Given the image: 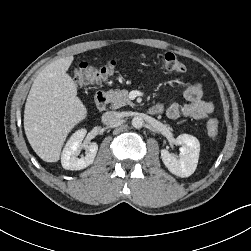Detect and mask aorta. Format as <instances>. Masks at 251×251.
<instances>
[{"mask_svg": "<svg viewBox=\"0 0 251 251\" xmlns=\"http://www.w3.org/2000/svg\"><path fill=\"white\" fill-rule=\"evenodd\" d=\"M143 125H144V121H143V119L141 118V117H134L133 119H132V126L134 127V128H136V129H140V128H142L143 127Z\"/></svg>", "mask_w": 251, "mask_h": 251, "instance_id": "obj_1", "label": "aorta"}]
</instances>
